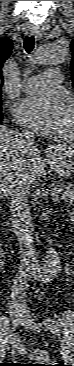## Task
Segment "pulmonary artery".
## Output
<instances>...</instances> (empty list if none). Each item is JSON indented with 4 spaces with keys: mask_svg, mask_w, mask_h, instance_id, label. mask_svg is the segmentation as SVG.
<instances>
[{
    "mask_svg": "<svg viewBox=\"0 0 74 366\" xmlns=\"http://www.w3.org/2000/svg\"><path fill=\"white\" fill-rule=\"evenodd\" d=\"M63 75L59 69H52L44 72L42 75L28 78L22 83V90L35 94L49 87H57L62 81Z\"/></svg>",
    "mask_w": 74,
    "mask_h": 366,
    "instance_id": "obj_1",
    "label": "pulmonary artery"
}]
</instances>
